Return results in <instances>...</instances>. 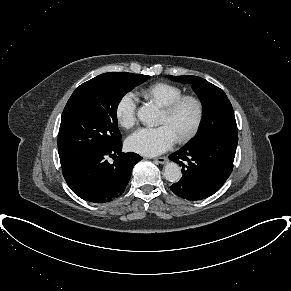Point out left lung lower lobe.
Listing matches in <instances>:
<instances>
[{"label": "left lung lower lobe", "mask_w": 291, "mask_h": 291, "mask_svg": "<svg viewBox=\"0 0 291 291\" xmlns=\"http://www.w3.org/2000/svg\"><path fill=\"white\" fill-rule=\"evenodd\" d=\"M238 143L237 134H217L199 143H187L169 159L182 166V178L170 189L187 200L214 194L230 176Z\"/></svg>", "instance_id": "1"}]
</instances>
